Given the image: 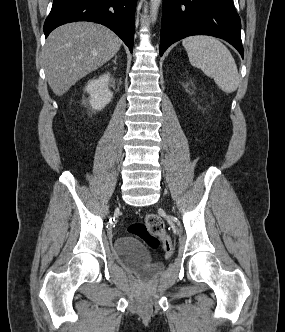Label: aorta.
<instances>
[{
	"mask_svg": "<svg viewBox=\"0 0 285 332\" xmlns=\"http://www.w3.org/2000/svg\"><path fill=\"white\" fill-rule=\"evenodd\" d=\"M151 3V21L154 22L156 20L158 9L161 3V0H150Z\"/></svg>",
	"mask_w": 285,
	"mask_h": 332,
	"instance_id": "762f6f07",
	"label": "aorta"
}]
</instances>
